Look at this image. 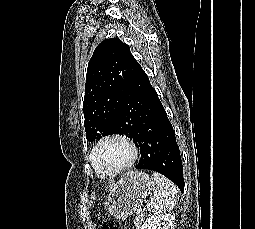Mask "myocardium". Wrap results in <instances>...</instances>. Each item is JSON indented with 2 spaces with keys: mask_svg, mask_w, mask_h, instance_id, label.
<instances>
[{
  "mask_svg": "<svg viewBox=\"0 0 255 229\" xmlns=\"http://www.w3.org/2000/svg\"><path fill=\"white\" fill-rule=\"evenodd\" d=\"M112 140H117V141L123 142L124 144H126L129 147V149L131 151L130 160L125 165H123L119 168H108V167L104 166L103 164H101V162L97 158V154H98V151L101 148V146L103 144H105L106 142L112 141ZM137 158H138V149H137L136 144L128 136L121 134V133H110V134H107V135L103 136L102 138H100L93 146V148L91 150V154H90V161L93 164L101 167L109 176L118 175L120 173L127 171L135 164Z\"/></svg>",
  "mask_w": 255,
  "mask_h": 229,
  "instance_id": "myocardium-1",
  "label": "myocardium"
}]
</instances>
